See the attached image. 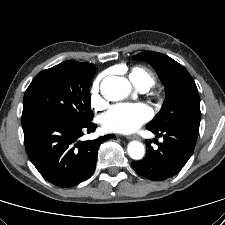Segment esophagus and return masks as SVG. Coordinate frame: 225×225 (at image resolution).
<instances>
[{
  "mask_svg": "<svg viewBox=\"0 0 225 225\" xmlns=\"http://www.w3.org/2000/svg\"><path fill=\"white\" fill-rule=\"evenodd\" d=\"M127 139H137V140H140V138L136 135H131V136H127L126 137Z\"/></svg>",
  "mask_w": 225,
  "mask_h": 225,
  "instance_id": "obj_1",
  "label": "esophagus"
}]
</instances>
